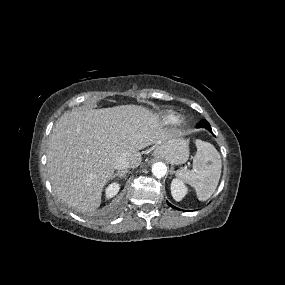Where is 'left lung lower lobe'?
I'll return each mask as SVG.
<instances>
[{
    "label": "left lung lower lobe",
    "mask_w": 285,
    "mask_h": 285,
    "mask_svg": "<svg viewBox=\"0 0 285 285\" xmlns=\"http://www.w3.org/2000/svg\"><path fill=\"white\" fill-rule=\"evenodd\" d=\"M197 127H204V128L208 129V130L212 133L211 126H210V124H209L206 120H201V121L198 123ZM167 203H168V205H170L171 207H173V208L179 210L178 208H176V207H174L173 205H171L169 202H167Z\"/></svg>",
    "instance_id": "0a47b994"
}]
</instances>
